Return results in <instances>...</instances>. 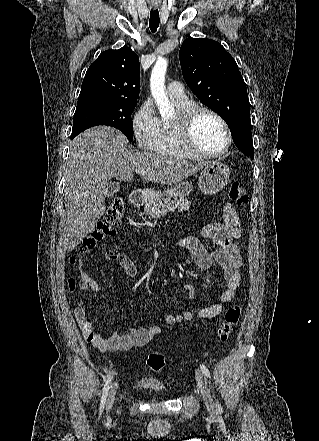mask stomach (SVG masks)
<instances>
[{"label": "stomach", "instance_id": "stomach-1", "mask_svg": "<svg viewBox=\"0 0 319 441\" xmlns=\"http://www.w3.org/2000/svg\"><path fill=\"white\" fill-rule=\"evenodd\" d=\"M230 177V168L217 161L208 163L202 170L199 177V190L204 194L213 195L220 192L227 184ZM192 190V185L189 182H182L171 189L164 192V194L156 193L155 199H160L163 195L166 198H182ZM164 199V198H163Z\"/></svg>", "mask_w": 319, "mask_h": 441}]
</instances>
